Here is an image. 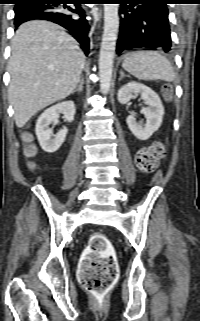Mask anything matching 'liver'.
Listing matches in <instances>:
<instances>
[{
    "label": "liver",
    "mask_w": 200,
    "mask_h": 321,
    "mask_svg": "<svg viewBox=\"0 0 200 321\" xmlns=\"http://www.w3.org/2000/svg\"><path fill=\"white\" fill-rule=\"evenodd\" d=\"M11 48L8 97L16 126L21 128L38 111L75 90L84 54L73 37L47 21L22 24Z\"/></svg>",
    "instance_id": "6515ba94"
}]
</instances>
